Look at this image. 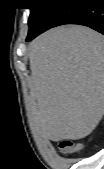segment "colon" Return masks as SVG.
I'll return each instance as SVG.
<instances>
[{"label":"colon","mask_w":104,"mask_h":169,"mask_svg":"<svg viewBox=\"0 0 104 169\" xmlns=\"http://www.w3.org/2000/svg\"><path fill=\"white\" fill-rule=\"evenodd\" d=\"M59 148L64 154H74L81 152L84 149V145L70 140H63L59 143Z\"/></svg>","instance_id":"obj_1"}]
</instances>
